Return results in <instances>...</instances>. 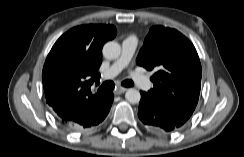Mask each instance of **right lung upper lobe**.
<instances>
[{
  "mask_svg": "<svg viewBox=\"0 0 244 157\" xmlns=\"http://www.w3.org/2000/svg\"><path fill=\"white\" fill-rule=\"evenodd\" d=\"M113 25H82L63 34L45 61L42 81L46 101L58 119L71 121L99 106L106 94H93L102 47L116 36Z\"/></svg>",
  "mask_w": 244,
  "mask_h": 157,
  "instance_id": "cb5924a9",
  "label": "right lung upper lobe"
}]
</instances>
